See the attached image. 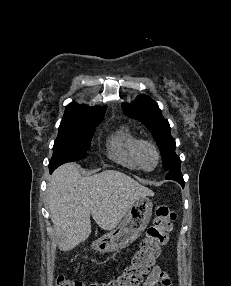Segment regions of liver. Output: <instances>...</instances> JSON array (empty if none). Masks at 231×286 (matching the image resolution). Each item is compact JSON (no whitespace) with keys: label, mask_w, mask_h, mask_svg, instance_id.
<instances>
[{"label":"liver","mask_w":231,"mask_h":286,"mask_svg":"<svg viewBox=\"0 0 231 286\" xmlns=\"http://www.w3.org/2000/svg\"><path fill=\"white\" fill-rule=\"evenodd\" d=\"M153 195V191L122 172L105 170L83 177L74 163L58 167L46 191L50 218L65 251L89 237L90 215L99 227L111 231L136 200Z\"/></svg>","instance_id":"1"}]
</instances>
